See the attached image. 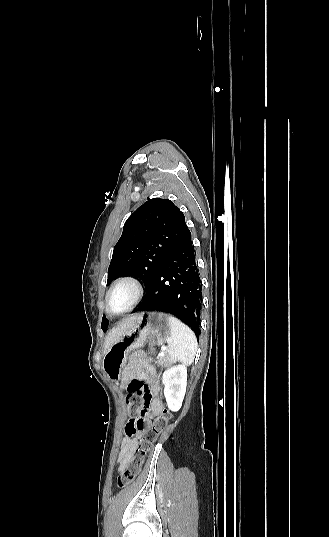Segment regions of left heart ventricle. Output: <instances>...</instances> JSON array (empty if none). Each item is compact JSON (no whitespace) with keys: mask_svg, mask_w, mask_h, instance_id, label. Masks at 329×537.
Segmentation results:
<instances>
[{"mask_svg":"<svg viewBox=\"0 0 329 537\" xmlns=\"http://www.w3.org/2000/svg\"><path fill=\"white\" fill-rule=\"evenodd\" d=\"M136 291L132 285L123 284L117 287L110 296V307L118 313L126 310L133 303Z\"/></svg>","mask_w":329,"mask_h":537,"instance_id":"b2bd125f","label":"left heart ventricle"}]
</instances>
